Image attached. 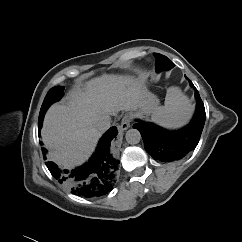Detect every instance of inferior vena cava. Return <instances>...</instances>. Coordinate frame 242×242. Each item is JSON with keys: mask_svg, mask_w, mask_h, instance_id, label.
<instances>
[{"mask_svg": "<svg viewBox=\"0 0 242 242\" xmlns=\"http://www.w3.org/2000/svg\"><path fill=\"white\" fill-rule=\"evenodd\" d=\"M111 126V117L109 115H102L101 117L98 118L96 122V127L100 131H105L109 129Z\"/></svg>", "mask_w": 242, "mask_h": 242, "instance_id": "602c4592", "label": "inferior vena cava"}]
</instances>
